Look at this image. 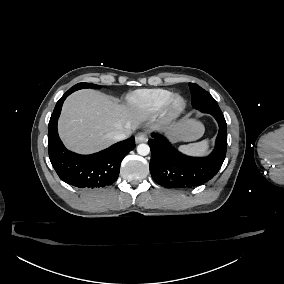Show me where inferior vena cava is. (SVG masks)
Wrapping results in <instances>:
<instances>
[{"label":"inferior vena cava","instance_id":"602c4592","mask_svg":"<svg viewBox=\"0 0 284 284\" xmlns=\"http://www.w3.org/2000/svg\"><path fill=\"white\" fill-rule=\"evenodd\" d=\"M124 139H126L125 133H118L114 136L115 141H121V140H124Z\"/></svg>","mask_w":284,"mask_h":284}]
</instances>
